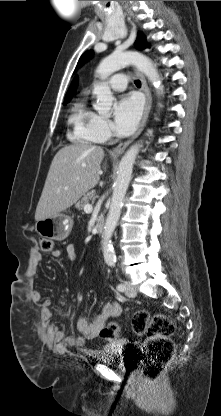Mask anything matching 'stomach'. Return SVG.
<instances>
[{
	"label": "stomach",
	"mask_w": 221,
	"mask_h": 416,
	"mask_svg": "<svg viewBox=\"0 0 221 416\" xmlns=\"http://www.w3.org/2000/svg\"><path fill=\"white\" fill-rule=\"evenodd\" d=\"M73 220L65 214L59 213L36 222L35 230L42 237L61 241L68 237L72 230Z\"/></svg>",
	"instance_id": "obj_1"
}]
</instances>
